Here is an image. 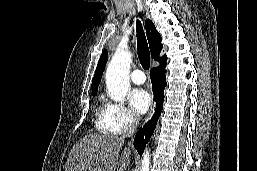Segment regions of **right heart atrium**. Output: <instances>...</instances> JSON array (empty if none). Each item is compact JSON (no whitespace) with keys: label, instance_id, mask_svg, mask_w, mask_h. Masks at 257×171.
<instances>
[{"label":"right heart atrium","instance_id":"obj_1","mask_svg":"<svg viewBox=\"0 0 257 171\" xmlns=\"http://www.w3.org/2000/svg\"><path fill=\"white\" fill-rule=\"evenodd\" d=\"M106 110L112 126L120 133L132 128L137 123V117L123 103L108 102Z\"/></svg>","mask_w":257,"mask_h":171}]
</instances>
